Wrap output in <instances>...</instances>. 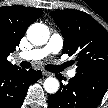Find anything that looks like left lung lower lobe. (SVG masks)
Masks as SVG:
<instances>
[{
	"instance_id": "1",
	"label": "left lung lower lobe",
	"mask_w": 108,
	"mask_h": 108,
	"mask_svg": "<svg viewBox=\"0 0 108 108\" xmlns=\"http://www.w3.org/2000/svg\"><path fill=\"white\" fill-rule=\"evenodd\" d=\"M60 85L59 91L48 97L49 108H96L108 90V73H77L67 85Z\"/></svg>"
}]
</instances>
